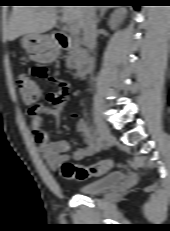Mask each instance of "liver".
Listing matches in <instances>:
<instances>
[{
	"label": "liver",
	"mask_w": 170,
	"mask_h": 231,
	"mask_svg": "<svg viewBox=\"0 0 170 231\" xmlns=\"http://www.w3.org/2000/svg\"><path fill=\"white\" fill-rule=\"evenodd\" d=\"M83 6H14L10 18L6 38L13 41L28 33H44L51 30L57 21V14L63 13L64 22H72L82 27Z\"/></svg>",
	"instance_id": "obj_1"
}]
</instances>
